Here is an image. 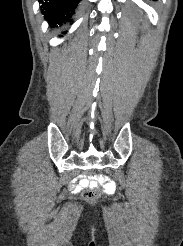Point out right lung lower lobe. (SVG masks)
Returning a JSON list of instances; mask_svg holds the SVG:
<instances>
[{
  "label": "right lung lower lobe",
  "mask_w": 183,
  "mask_h": 246,
  "mask_svg": "<svg viewBox=\"0 0 183 246\" xmlns=\"http://www.w3.org/2000/svg\"><path fill=\"white\" fill-rule=\"evenodd\" d=\"M81 0H39L40 8L50 27L59 28L71 20ZM66 33V32H62Z\"/></svg>",
  "instance_id": "obj_1"
}]
</instances>
